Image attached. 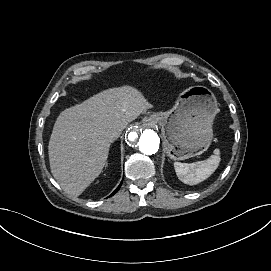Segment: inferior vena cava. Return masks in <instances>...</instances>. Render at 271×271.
I'll return each instance as SVG.
<instances>
[{
  "label": "inferior vena cava",
  "mask_w": 271,
  "mask_h": 271,
  "mask_svg": "<svg viewBox=\"0 0 271 271\" xmlns=\"http://www.w3.org/2000/svg\"><path fill=\"white\" fill-rule=\"evenodd\" d=\"M120 136V132H117L116 134H113L112 136H111V138L112 139H116V138H118Z\"/></svg>",
  "instance_id": "obj_1"
}]
</instances>
